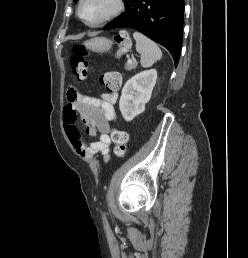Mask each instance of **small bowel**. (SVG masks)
Instances as JSON below:
<instances>
[{
    "instance_id": "c3829d8e",
    "label": "small bowel",
    "mask_w": 248,
    "mask_h": 258,
    "mask_svg": "<svg viewBox=\"0 0 248 258\" xmlns=\"http://www.w3.org/2000/svg\"><path fill=\"white\" fill-rule=\"evenodd\" d=\"M116 74L120 75L116 72ZM117 93H104L99 98L84 96L73 88L67 93L64 113V128L74 151L88 160L97 154L108 158L111 139L110 122L115 119L114 104ZM85 124L86 133L94 140L87 144L76 125L77 118Z\"/></svg>"
}]
</instances>
